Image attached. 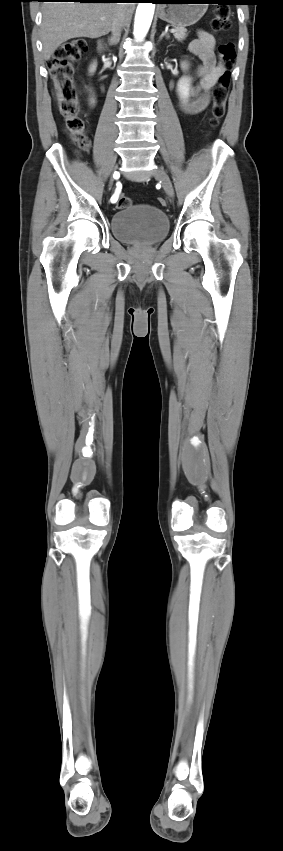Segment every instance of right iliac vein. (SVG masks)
<instances>
[{
    "label": "right iliac vein",
    "mask_w": 283,
    "mask_h": 851,
    "mask_svg": "<svg viewBox=\"0 0 283 851\" xmlns=\"http://www.w3.org/2000/svg\"><path fill=\"white\" fill-rule=\"evenodd\" d=\"M112 183H113V179L110 180V186L112 185Z\"/></svg>",
    "instance_id": "1"
}]
</instances>
